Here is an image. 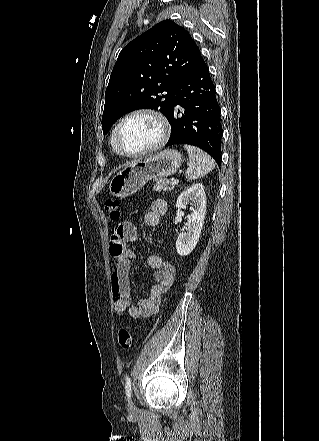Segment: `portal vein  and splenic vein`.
<instances>
[{
	"label": "portal vein and splenic vein",
	"instance_id": "portal-vein-and-splenic-vein-1",
	"mask_svg": "<svg viewBox=\"0 0 319 441\" xmlns=\"http://www.w3.org/2000/svg\"><path fill=\"white\" fill-rule=\"evenodd\" d=\"M178 183H179L178 179H173V180H172V184H173V185H177Z\"/></svg>",
	"mask_w": 319,
	"mask_h": 441
}]
</instances>
